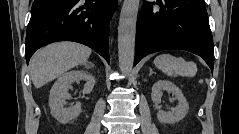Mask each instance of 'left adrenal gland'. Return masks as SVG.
<instances>
[{
    "label": "left adrenal gland",
    "instance_id": "left-adrenal-gland-1",
    "mask_svg": "<svg viewBox=\"0 0 239 134\" xmlns=\"http://www.w3.org/2000/svg\"><path fill=\"white\" fill-rule=\"evenodd\" d=\"M153 73H154V72H153L152 68H150L149 76H151Z\"/></svg>",
    "mask_w": 239,
    "mask_h": 134
}]
</instances>
